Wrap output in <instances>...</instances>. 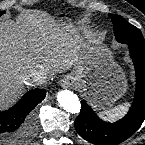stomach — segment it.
Here are the masks:
<instances>
[{"instance_id": "0dacf381", "label": "stomach", "mask_w": 145, "mask_h": 145, "mask_svg": "<svg viewBox=\"0 0 145 145\" xmlns=\"http://www.w3.org/2000/svg\"><path fill=\"white\" fill-rule=\"evenodd\" d=\"M103 52L99 46L82 50L71 79L84 89L88 87V94L100 105H112L124 93L125 84Z\"/></svg>"}]
</instances>
